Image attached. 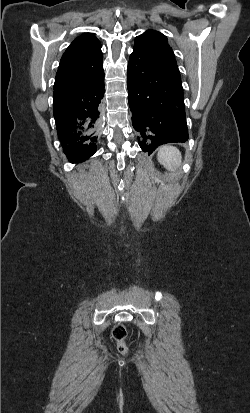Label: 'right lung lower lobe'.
<instances>
[{
  "mask_svg": "<svg viewBox=\"0 0 250 413\" xmlns=\"http://www.w3.org/2000/svg\"><path fill=\"white\" fill-rule=\"evenodd\" d=\"M104 71L90 82L54 88L53 114L58 138L71 163L85 161L96 152Z\"/></svg>",
  "mask_w": 250,
  "mask_h": 413,
  "instance_id": "1",
  "label": "right lung lower lobe"
}]
</instances>
